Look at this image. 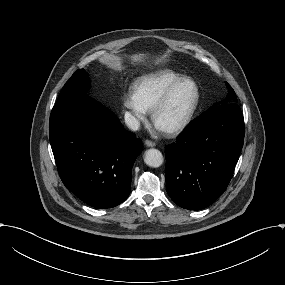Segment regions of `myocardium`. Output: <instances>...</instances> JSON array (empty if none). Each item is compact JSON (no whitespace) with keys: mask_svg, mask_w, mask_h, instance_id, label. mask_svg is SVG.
Listing matches in <instances>:
<instances>
[{"mask_svg":"<svg viewBox=\"0 0 285 285\" xmlns=\"http://www.w3.org/2000/svg\"><path fill=\"white\" fill-rule=\"evenodd\" d=\"M187 82L193 83L195 88H196L195 101H194L190 111L188 112V114L185 116V118L181 122H179L178 124L174 125L173 127L169 128V129L165 130L169 134H176V133L183 131L184 129H186L189 126V124L193 120V118H194V116H195V114L199 108V105L201 103L202 93H201V88H200L199 83L191 77H183L182 79H180L179 81L174 83L171 87H169V89L164 93L162 98L159 100V102L153 108L152 118L156 122V119H157L159 112L168 105V103L170 102L175 91L181 85H183Z\"/></svg>","mask_w":285,"mask_h":285,"instance_id":"1","label":"myocardium"}]
</instances>
